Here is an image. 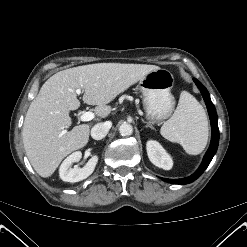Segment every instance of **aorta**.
<instances>
[{"mask_svg": "<svg viewBox=\"0 0 247 247\" xmlns=\"http://www.w3.org/2000/svg\"><path fill=\"white\" fill-rule=\"evenodd\" d=\"M119 133L122 136H129L133 133V127L130 124L124 122L119 127Z\"/></svg>", "mask_w": 247, "mask_h": 247, "instance_id": "762f6f07", "label": "aorta"}]
</instances>
